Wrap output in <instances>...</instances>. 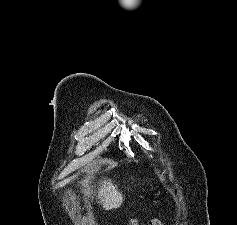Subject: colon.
<instances>
[{
  "mask_svg": "<svg viewBox=\"0 0 237 225\" xmlns=\"http://www.w3.org/2000/svg\"><path fill=\"white\" fill-rule=\"evenodd\" d=\"M129 225H140V224L136 220H131ZM148 225H162V222L159 219H153L148 223Z\"/></svg>",
  "mask_w": 237,
  "mask_h": 225,
  "instance_id": "colon-1",
  "label": "colon"
}]
</instances>
